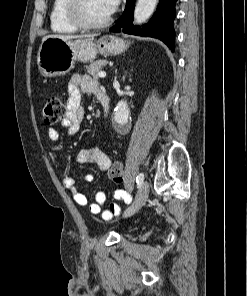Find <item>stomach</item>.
I'll use <instances>...</instances> for the list:
<instances>
[{
    "label": "stomach",
    "mask_w": 247,
    "mask_h": 296,
    "mask_svg": "<svg viewBox=\"0 0 247 296\" xmlns=\"http://www.w3.org/2000/svg\"><path fill=\"white\" fill-rule=\"evenodd\" d=\"M129 42L109 35L95 41L79 38L74 41L50 37L42 41L37 55L38 69L44 77L61 76L68 73L75 61L91 62L97 54L118 55L127 50Z\"/></svg>",
    "instance_id": "0dacf381"
}]
</instances>
